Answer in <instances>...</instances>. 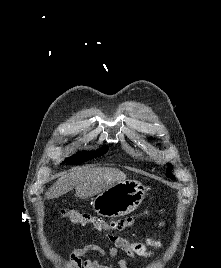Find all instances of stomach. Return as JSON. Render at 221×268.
I'll return each instance as SVG.
<instances>
[{"label":"stomach","instance_id":"stomach-1","mask_svg":"<svg viewBox=\"0 0 221 268\" xmlns=\"http://www.w3.org/2000/svg\"><path fill=\"white\" fill-rule=\"evenodd\" d=\"M147 189L140 182L126 180L99 193L92 202L94 211L103 217H120L133 212L143 201Z\"/></svg>","mask_w":221,"mask_h":268}]
</instances>
